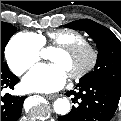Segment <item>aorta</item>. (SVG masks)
<instances>
[{
  "label": "aorta",
  "mask_w": 121,
  "mask_h": 121,
  "mask_svg": "<svg viewBox=\"0 0 121 121\" xmlns=\"http://www.w3.org/2000/svg\"><path fill=\"white\" fill-rule=\"evenodd\" d=\"M54 110L57 114L66 115L70 111V102L66 98H58L54 102Z\"/></svg>",
  "instance_id": "1"
}]
</instances>
